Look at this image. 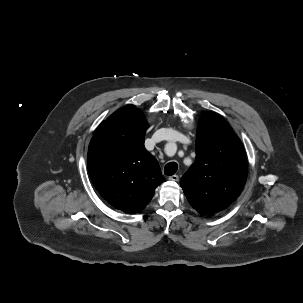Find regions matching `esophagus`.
Instances as JSON below:
<instances>
[{
	"instance_id": "obj_1",
	"label": "esophagus",
	"mask_w": 303,
	"mask_h": 303,
	"mask_svg": "<svg viewBox=\"0 0 303 303\" xmlns=\"http://www.w3.org/2000/svg\"><path fill=\"white\" fill-rule=\"evenodd\" d=\"M168 179L171 180V181H178L179 180V176L176 175V174H174V175L170 176Z\"/></svg>"
}]
</instances>
